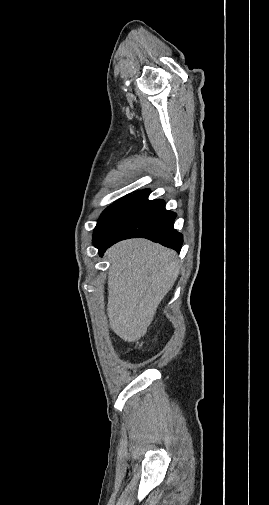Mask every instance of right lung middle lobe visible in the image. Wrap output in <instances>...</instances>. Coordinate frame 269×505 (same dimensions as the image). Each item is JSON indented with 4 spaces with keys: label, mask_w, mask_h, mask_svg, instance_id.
<instances>
[{
    "label": "right lung middle lobe",
    "mask_w": 269,
    "mask_h": 505,
    "mask_svg": "<svg viewBox=\"0 0 269 505\" xmlns=\"http://www.w3.org/2000/svg\"><path fill=\"white\" fill-rule=\"evenodd\" d=\"M133 194H128L110 205L101 215L94 229L93 242L96 244L118 213L132 200Z\"/></svg>",
    "instance_id": "1"
}]
</instances>
